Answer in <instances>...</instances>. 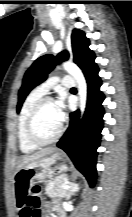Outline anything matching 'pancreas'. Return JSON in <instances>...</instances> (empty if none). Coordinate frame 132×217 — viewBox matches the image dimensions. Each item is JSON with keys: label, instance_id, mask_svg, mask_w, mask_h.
Segmentation results:
<instances>
[{"label": "pancreas", "instance_id": "1", "mask_svg": "<svg viewBox=\"0 0 132 217\" xmlns=\"http://www.w3.org/2000/svg\"><path fill=\"white\" fill-rule=\"evenodd\" d=\"M66 184H68V176L62 174L46 184L45 192L51 198L65 197L69 191V189H63Z\"/></svg>", "mask_w": 132, "mask_h": 217}]
</instances>
